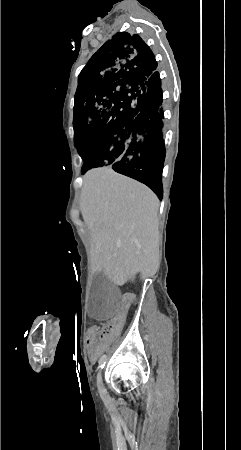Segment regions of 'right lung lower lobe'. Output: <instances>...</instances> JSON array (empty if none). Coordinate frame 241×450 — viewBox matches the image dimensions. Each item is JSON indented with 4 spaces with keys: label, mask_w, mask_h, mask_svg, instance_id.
<instances>
[{
    "label": "right lung lower lobe",
    "mask_w": 241,
    "mask_h": 450,
    "mask_svg": "<svg viewBox=\"0 0 241 450\" xmlns=\"http://www.w3.org/2000/svg\"><path fill=\"white\" fill-rule=\"evenodd\" d=\"M146 107L142 114L111 131L94 149L91 156H100V148L109 140L128 134H139L143 141L125 154L112 168L121 174L134 178L151 188L162 199V170L165 159L163 128V93L159 72L155 71L144 82ZM81 139L78 142L80 147Z\"/></svg>",
    "instance_id": "right-lung-lower-lobe-1"
}]
</instances>
